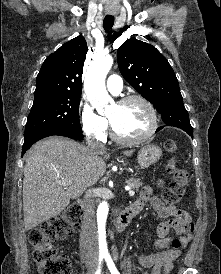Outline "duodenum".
<instances>
[{"instance_id": "duodenum-1", "label": "duodenum", "mask_w": 221, "mask_h": 274, "mask_svg": "<svg viewBox=\"0 0 221 274\" xmlns=\"http://www.w3.org/2000/svg\"><path fill=\"white\" fill-rule=\"evenodd\" d=\"M82 209L85 210V204L83 201L79 202ZM138 213L137 209L132 205L125 208L115 219V226L118 232L124 231L130 224L132 218Z\"/></svg>"}]
</instances>
